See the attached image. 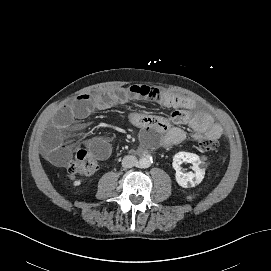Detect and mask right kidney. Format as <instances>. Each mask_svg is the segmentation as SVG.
<instances>
[{
  "label": "right kidney",
  "instance_id": "obj_1",
  "mask_svg": "<svg viewBox=\"0 0 271 271\" xmlns=\"http://www.w3.org/2000/svg\"><path fill=\"white\" fill-rule=\"evenodd\" d=\"M80 184H81L80 180H77V181L74 182V185H75V186H78V185H80Z\"/></svg>",
  "mask_w": 271,
  "mask_h": 271
}]
</instances>
